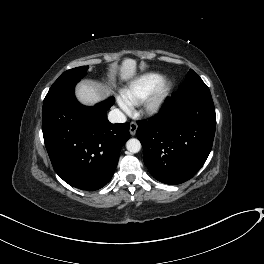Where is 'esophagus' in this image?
<instances>
[{
    "instance_id": "1",
    "label": "esophagus",
    "mask_w": 264,
    "mask_h": 264,
    "mask_svg": "<svg viewBox=\"0 0 264 264\" xmlns=\"http://www.w3.org/2000/svg\"><path fill=\"white\" fill-rule=\"evenodd\" d=\"M137 127L138 126H137V124L135 122H131L130 123V129H129V131H130V134L132 136H134L136 134Z\"/></svg>"
}]
</instances>
